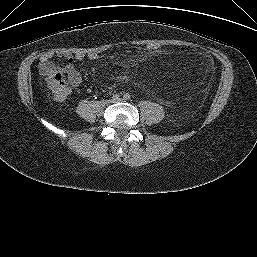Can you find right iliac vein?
I'll return each instance as SVG.
<instances>
[{
  "mask_svg": "<svg viewBox=\"0 0 257 257\" xmlns=\"http://www.w3.org/2000/svg\"><path fill=\"white\" fill-rule=\"evenodd\" d=\"M113 101L112 100H106L104 101V104H108V103H112Z\"/></svg>",
  "mask_w": 257,
  "mask_h": 257,
  "instance_id": "obj_1",
  "label": "right iliac vein"
}]
</instances>
